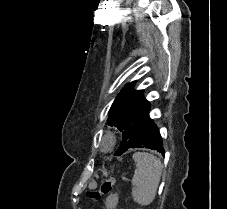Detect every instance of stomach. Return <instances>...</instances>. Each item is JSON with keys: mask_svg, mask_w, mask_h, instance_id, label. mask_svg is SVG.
<instances>
[{"mask_svg": "<svg viewBox=\"0 0 227 209\" xmlns=\"http://www.w3.org/2000/svg\"><path fill=\"white\" fill-rule=\"evenodd\" d=\"M118 204V196L116 194H111L106 199V206L108 209H113Z\"/></svg>", "mask_w": 227, "mask_h": 209, "instance_id": "stomach-1", "label": "stomach"}]
</instances>
